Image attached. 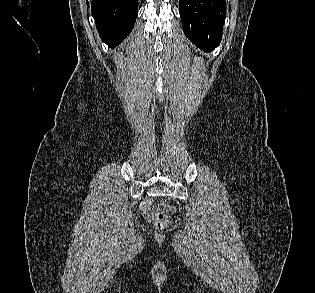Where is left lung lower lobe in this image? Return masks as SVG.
Instances as JSON below:
<instances>
[{
    "label": "left lung lower lobe",
    "mask_w": 315,
    "mask_h": 293,
    "mask_svg": "<svg viewBox=\"0 0 315 293\" xmlns=\"http://www.w3.org/2000/svg\"><path fill=\"white\" fill-rule=\"evenodd\" d=\"M185 35L206 52L221 42L226 14L225 0H179Z\"/></svg>",
    "instance_id": "0a47b994"
}]
</instances>
